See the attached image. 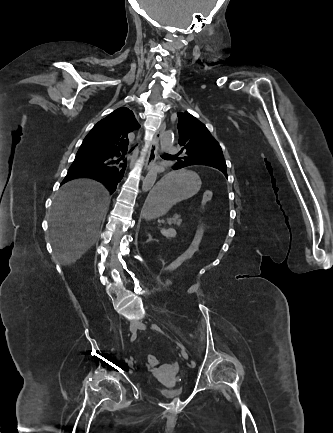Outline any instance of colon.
Listing matches in <instances>:
<instances>
[{
    "label": "colon",
    "mask_w": 333,
    "mask_h": 433,
    "mask_svg": "<svg viewBox=\"0 0 333 433\" xmlns=\"http://www.w3.org/2000/svg\"><path fill=\"white\" fill-rule=\"evenodd\" d=\"M212 196L213 195H212L211 192H209V191L206 192L203 195L202 204L204 205L207 202H209L212 199ZM203 229H204V224L201 223V225H200V231H199V233H198V235L196 237V243L197 244L200 242V240L202 238V234H203L202 231H203ZM197 244H192L187 250L181 252V254L176 259H174L171 262V264H167L166 265V270L174 272L177 269V267L178 268L184 267V265L186 263H188L189 260L193 259L194 253L196 252V249L199 247ZM157 362H159V360H158V358L156 356L151 355V354L147 356V365L150 368H155L156 365H157Z\"/></svg>",
    "instance_id": "obj_1"
}]
</instances>
